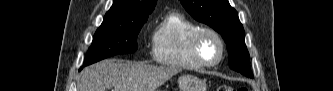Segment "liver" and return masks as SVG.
Listing matches in <instances>:
<instances>
[{
  "mask_svg": "<svg viewBox=\"0 0 333 91\" xmlns=\"http://www.w3.org/2000/svg\"><path fill=\"white\" fill-rule=\"evenodd\" d=\"M179 69L150 66L131 61L106 59L85 68L80 77V91H155Z\"/></svg>",
  "mask_w": 333,
  "mask_h": 91,
  "instance_id": "obj_1",
  "label": "liver"
}]
</instances>
